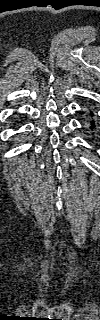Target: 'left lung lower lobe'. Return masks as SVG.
I'll return each instance as SVG.
<instances>
[{
  "instance_id": "0a47b994",
  "label": "left lung lower lobe",
  "mask_w": 100,
  "mask_h": 320,
  "mask_svg": "<svg viewBox=\"0 0 100 320\" xmlns=\"http://www.w3.org/2000/svg\"><path fill=\"white\" fill-rule=\"evenodd\" d=\"M91 114V116H93V113H90ZM96 126H95V123H94V121H91L90 122V128L91 129H94Z\"/></svg>"
}]
</instances>
